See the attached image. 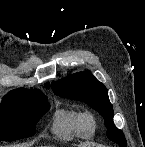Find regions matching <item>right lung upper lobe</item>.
I'll use <instances>...</instances> for the list:
<instances>
[{"label":"right lung upper lobe","mask_w":145,"mask_h":147,"mask_svg":"<svg viewBox=\"0 0 145 147\" xmlns=\"http://www.w3.org/2000/svg\"><path fill=\"white\" fill-rule=\"evenodd\" d=\"M45 87L48 89V88L50 87L49 83H46ZM26 90H29V89L20 88V89L13 90V91L10 92L9 94L16 93V92H21V91H26ZM9 94H8V95H9Z\"/></svg>","instance_id":"right-lung-upper-lobe-1"}]
</instances>
